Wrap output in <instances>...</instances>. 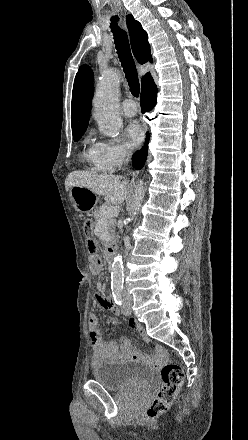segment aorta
Returning a JSON list of instances; mask_svg holds the SVG:
<instances>
[{
	"label": "aorta",
	"instance_id": "1",
	"mask_svg": "<svg viewBox=\"0 0 248 440\" xmlns=\"http://www.w3.org/2000/svg\"><path fill=\"white\" fill-rule=\"evenodd\" d=\"M119 78L115 72L102 76L94 96L95 119L101 133L117 140L122 127V119L118 111ZM145 196L144 182L141 180L135 189L130 205V218L139 211ZM111 286L120 289L123 286V259L120 253L114 258L111 272Z\"/></svg>",
	"mask_w": 248,
	"mask_h": 440
}]
</instances>
